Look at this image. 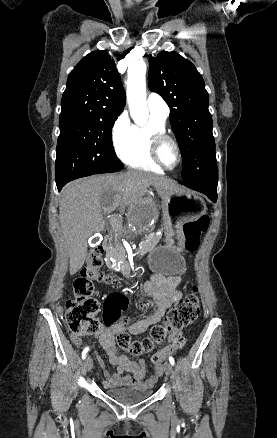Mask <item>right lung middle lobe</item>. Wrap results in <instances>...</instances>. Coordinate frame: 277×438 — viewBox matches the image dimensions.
Wrapping results in <instances>:
<instances>
[{
	"instance_id": "dd1d6c3e",
	"label": "right lung middle lobe",
	"mask_w": 277,
	"mask_h": 438,
	"mask_svg": "<svg viewBox=\"0 0 277 438\" xmlns=\"http://www.w3.org/2000/svg\"><path fill=\"white\" fill-rule=\"evenodd\" d=\"M116 119L60 117L55 164L56 182L120 170L111 131Z\"/></svg>"
}]
</instances>
